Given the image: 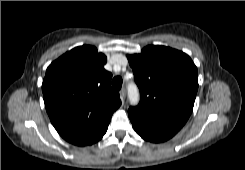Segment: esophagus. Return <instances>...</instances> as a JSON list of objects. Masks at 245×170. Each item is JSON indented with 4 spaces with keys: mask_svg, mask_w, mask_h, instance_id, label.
I'll use <instances>...</instances> for the list:
<instances>
[{
    "mask_svg": "<svg viewBox=\"0 0 245 170\" xmlns=\"http://www.w3.org/2000/svg\"><path fill=\"white\" fill-rule=\"evenodd\" d=\"M119 94H120V98H121L122 102H124V99H125V96H126V90H125V88H122L120 90Z\"/></svg>",
    "mask_w": 245,
    "mask_h": 170,
    "instance_id": "esophagus-1",
    "label": "esophagus"
}]
</instances>
